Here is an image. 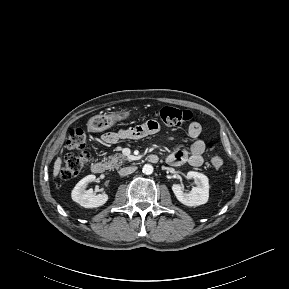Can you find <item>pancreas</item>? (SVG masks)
<instances>
[{"instance_id": "1", "label": "pancreas", "mask_w": 289, "mask_h": 289, "mask_svg": "<svg viewBox=\"0 0 289 289\" xmlns=\"http://www.w3.org/2000/svg\"><path fill=\"white\" fill-rule=\"evenodd\" d=\"M124 160L127 159L122 154H116L114 156L109 157L108 159H104L105 164L108 166L109 169H118L120 165H122Z\"/></svg>"}]
</instances>
